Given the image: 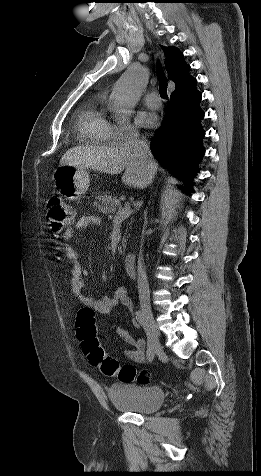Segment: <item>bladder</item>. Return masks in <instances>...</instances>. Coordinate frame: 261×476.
<instances>
[{
	"label": "bladder",
	"instance_id": "obj_1",
	"mask_svg": "<svg viewBox=\"0 0 261 476\" xmlns=\"http://www.w3.org/2000/svg\"><path fill=\"white\" fill-rule=\"evenodd\" d=\"M108 396L118 410L137 414L158 411L166 397L159 386H142L130 382L113 384L109 388Z\"/></svg>",
	"mask_w": 261,
	"mask_h": 476
}]
</instances>
